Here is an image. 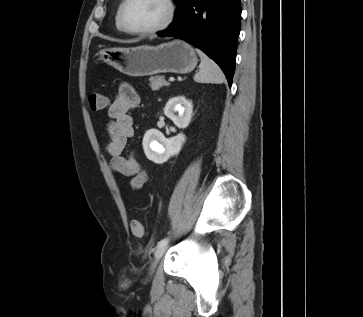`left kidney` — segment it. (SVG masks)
<instances>
[{"instance_id": "1", "label": "left kidney", "mask_w": 363, "mask_h": 317, "mask_svg": "<svg viewBox=\"0 0 363 317\" xmlns=\"http://www.w3.org/2000/svg\"><path fill=\"white\" fill-rule=\"evenodd\" d=\"M175 112H178V115H175ZM164 114L170 118L178 128L184 129L189 125L192 118V102L187 100L184 96L173 97L166 103ZM185 139L183 133L167 139L160 131L150 129L145 133L143 138L144 153L146 157L154 163H164L170 157L177 155L180 152Z\"/></svg>"}]
</instances>
